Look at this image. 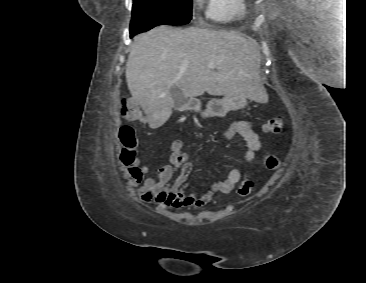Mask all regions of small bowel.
<instances>
[{"label": "small bowel", "instance_id": "c3829d8e", "mask_svg": "<svg viewBox=\"0 0 366 283\" xmlns=\"http://www.w3.org/2000/svg\"><path fill=\"white\" fill-rule=\"evenodd\" d=\"M222 134L226 139L241 136L247 143L244 153L245 161L252 165L255 155L261 150L263 141L254 130L253 123L239 119L223 128ZM131 185L138 186L137 195L144 203L154 201L160 208H200L208 203L216 193L229 194L241 180V171L232 168L225 179L214 182L201 195L186 193L187 180L194 169V162L184 151L181 140H173L170 145L168 164L162 166L155 175L147 176L148 168L140 164L138 159L124 163Z\"/></svg>", "mask_w": 366, "mask_h": 283}]
</instances>
